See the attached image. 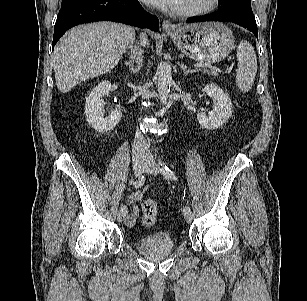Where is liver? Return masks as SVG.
<instances>
[{
  "mask_svg": "<svg viewBox=\"0 0 307 301\" xmlns=\"http://www.w3.org/2000/svg\"><path fill=\"white\" fill-rule=\"evenodd\" d=\"M134 28L113 22H96L74 27L54 48L56 84L62 93L78 83L103 75L120 61L135 40ZM143 46L148 45L145 35Z\"/></svg>",
  "mask_w": 307,
  "mask_h": 301,
  "instance_id": "obj_1",
  "label": "liver"
}]
</instances>
